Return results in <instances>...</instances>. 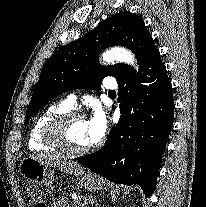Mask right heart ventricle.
Segmentation results:
<instances>
[{
  "mask_svg": "<svg viewBox=\"0 0 206 207\" xmlns=\"http://www.w3.org/2000/svg\"><path fill=\"white\" fill-rule=\"evenodd\" d=\"M65 101L50 104L36 118L28 136V148L31 151H55V148L48 145L43 138L45 125L57 115L71 111Z\"/></svg>",
  "mask_w": 206,
  "mask_h": 207,
  "instance_id": "e07e8e85",
  "label": "right heart ventricle"
}]
</instances>
